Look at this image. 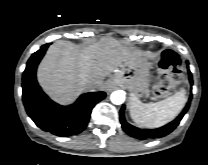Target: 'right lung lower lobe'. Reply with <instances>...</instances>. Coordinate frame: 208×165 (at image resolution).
I'll return each instance as SVG.
<instances>
[{
  "label": "right lung lower lobe",
  "instance_id": "98d812e1",
  "mask_svg": "<svg viewBox=\"0 0 208 165\" xmlns=\"http://www.w3.org/2000/svg\"><path fill=\"white\" fill-rule=\"evenodd\" d=\"M50 43L43 45L27 62L22 77V98L29 117L44 131L67 137L82 132L93 107L106 97L105 92L80 96L75 104L64 107L56 104L41 90L36 80L37 66Z\"/></svg>",
  "mask_w": 208,
  "mask_h": 165
}]
</instances>
